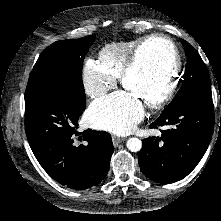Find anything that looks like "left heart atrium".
<instances>
[{"label":"left heart atrium","mask_w":221,"mask_h":221,"mask_svg":"<svg viewBox=\"0 0 221 221\" xmlns=\"http://www.w3.org/2000/svg\"><path fill=\"white\" fill-rule=\"evenodd\" d=\"M144 116V104L127 90H120L94 102L88 113L96 127L118 135L133 131Z\"/></svg>","instance_id":"obj_1"}]
</instances>
